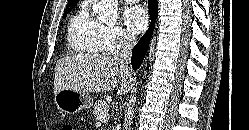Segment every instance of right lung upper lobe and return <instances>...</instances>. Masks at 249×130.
I'll return each instance as SVG.
<instances>
[{
  "instance_id": "1",
  "label": "right lung upper lobe",
  "mask_w": 249,
  "mask_h": 130,
  "mask_svg": "<svg viewBox=\"0 0 249 130\" xmlns=\"http://www.w3.org/2000/svg\"><path fill=\"white\" fill-rule=\"evenodd\" d=\"M77 2H78V0H69L67 5L75 4V3H77Z\"/></svg>"
}]
</instances>
